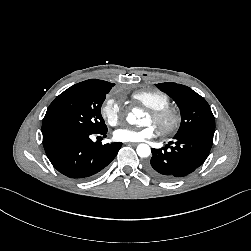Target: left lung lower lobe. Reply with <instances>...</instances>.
I'll use <instances>...</instances> for the list:
<instances>
[{
    "mask_svg": "<svg viewBox=\"0 0 251 251\" xmlns=\"http://www.w3.org/2000/svg\"><path fill=\"white\" fill-rule=\"evenodd\" d=\"M174 139L170 142L174 146L152 149L147 164L149 173L163 181H175L192 173L206 160L213 144V135L207 133H189Z\"/></svg>",
    "mask_w": 251,
    "mask_h": 251,
    "instance_id": "0a47b994",
    "label": "left lung lower lobe"
}]
</instances>
